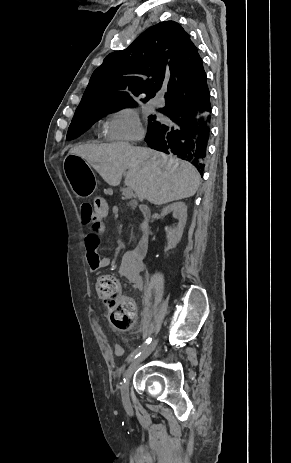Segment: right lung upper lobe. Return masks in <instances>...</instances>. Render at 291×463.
<instances>
[{
  "mask_svg": "<svg viewBox=\"0 0 291 463\" xmlns=\"http://www.w3.org/2000/svg\"><path fill=\"white\" fill-rule=\"evenodd\" d=\"M206 73L197 48L182 26L160 22L142 33L128 48L107 55L92 74L78 109L109 102H146L166 91L165 111L188 107L203 98Z\"/></svg>",
  "mask_w": 291,
  "mask_h": 463,
  "instance_id": "right-lung-upper-lobe-1",
  "label": "right lung upper lobe"
}]
</instances>
